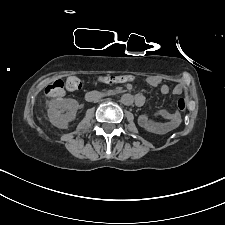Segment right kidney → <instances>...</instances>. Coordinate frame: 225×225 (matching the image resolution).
<instances>
[{
	"mask_svg": "<svg viewBox=\"0 0 225 225\" xmlns=\"http://www.w3.org/2000/svg\"><path fill=\"white\" fill-rule=\"evenodd\" d=\"M78 106L79 104L75 99L57 98L51 100L48 109L49 121L57 128H68L69 122L76 117ZM65 111L67 112L63 114Z\"/></svg>",
	"mask_w": 225,
	"mask_h": 225,
	"instance_id": "obj_1",
	"label": "right kidney"
}]
</instances>
